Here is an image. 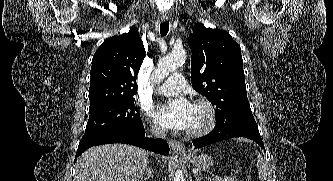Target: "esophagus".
<instances>
[{
  "label": "esophagus",
  "instance_id": "obj_1",
  "mask_svg": "<svg viewBox=\"0 0 333 181\" xmlns=\"http://www.w3.org/2000/svg\"><path fill=\"white\" fill-rule=\"evenodd\" d=\"M168 18L166 17H163L162 20L165 22L167 21ZM169 143V146L171 147L172 151L176 154H185V146L183 143H181L180 141H177V140H173V139H170L168 141Z\"/></svg>",
  "mask_w": 333,
  "mask_h": 181
}]
</instances>
